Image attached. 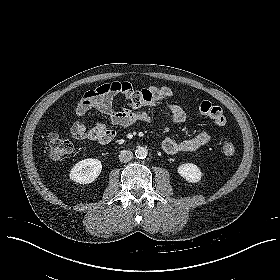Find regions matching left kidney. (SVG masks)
I'll list each match as a JSON object with an SVG mask.
<instances>
[{
	"mask_svg": "<svg viewBox=\"0 0 280 280\" xmlns=\"http://www.w3.org/2000/svg\"><path fill=\"white\" fill-rule=\"evenodd\" d=\"M177 172L185 181L189 183H197L203 176L201 169L193 163H183L179 165Z\"/></svg>",
	"mask_w": 280,
	"mask_h": 280,
	"instance_id": "obj_1",
	"label": "left kidney"
}]
</instances>
